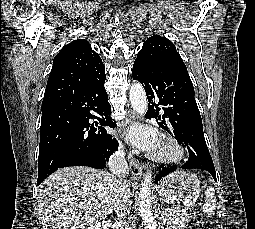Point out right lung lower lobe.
Segmentation results:
<instances>
[{"mask_svg": "<svg viewBox=\"0 0 255 229\" xmlns=\"http://www.w3.org/2000/svg\"><path fill=\"white\" fill-rule=\"evenodd\" d=\"M105 78V68H102L88 78L71 100L42 109L41 126L44 122L64 116H73L77 125L58 163L51 167L38 164L37 185L58 168L89 166L102 169L109 156L117 150L118 142L105 129L116 127L110 118ZM90 119L96 121L90 123Z\"/></svg>", "mask_w": 255, "mask_h": 229, "instance_id": "right-lung-lower-lobe-1", "label": "right lung lower lobe"}]
</instances>
